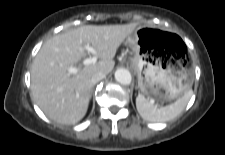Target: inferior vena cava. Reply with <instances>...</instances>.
Masks as SVG:
<instances>
[{
  "label": "inferior vena cava",
  "instance_id": "inferior-vena-cava-1",
  "mask_svg": "<svg viewBox=\"0 0 225 155\" xmlns=\"http://www.w3.org/2000/svg\"><path fill=\"white\" fill-rule=\"evenodd\" d=\"M106 76V74L104 72H96L95 74L92 75L91 77V83L92 84H96L98 83L99 81H101L102 79H104Z\"/></svg>",
  "mask_w": 225,
  "mask_h": 155
}]
</instances>
